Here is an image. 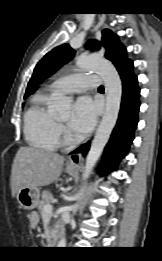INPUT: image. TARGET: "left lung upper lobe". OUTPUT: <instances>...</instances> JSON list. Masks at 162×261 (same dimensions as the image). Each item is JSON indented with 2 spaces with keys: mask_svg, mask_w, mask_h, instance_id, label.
<instances>
[{
  "mask_svg": "<svg viewBox=\"0 0 162 261\" xmlns=\"http://www.w3.org/2000/svg\"><path fill=\"white\" fill-rule=\"evenodd\" d=\"M101 43L106 50L105 57L115 65L118 71L131 62L130 59H127L126 49L120 44L117 35L110 30L105 29L102 31ZM86 47L92 50H99L100 43L90 40ZM74 54L75 51L68 44L60 45L48 52L36 65L28 83L24 99L32 93L37 84L52 75L61 65L71 60Z\"/></svg>",
  "mask_w": 162,
  "mask_h": 261,
  "instance_id": "obj_1",
  "label": "left lung upper lobe"
}]
</instances>
